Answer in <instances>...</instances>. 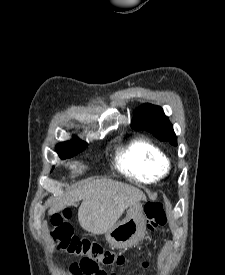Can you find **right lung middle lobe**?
I'll return each mask as SVG.
<instances>
[{"mask_svg":"<svg viewBox=\"0 0 225 275\" xmlns=\"http://www.w3.org/2000/svg\"><path fill=\"white\" fill-rule=\"evenodd\" d=\"M87 146V143L80 141L78 138H73L72 141L62 142L56 146V151L61 159L71 158L74 155L82 152ZM54 168V167H53Z\"/></svg>","mask_w":225,"mask_h":275,"instance_id":"right-lung-middle-lobe-1","label":"right lung middle lobe"}]
</instances>
